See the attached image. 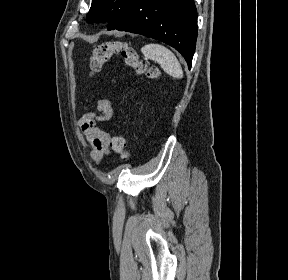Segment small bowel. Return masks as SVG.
<instances>
[{
  "label": "small bowel",
  "instance_id": "1",
  "mask_svg": "<svg viewBox=\"0 0 288 280\" xmlns=\"http://www.w3.org/2000/svg\"><path fill=\"white\" fill-rule=\"evenodd\" d=\"M99 114L87 112L80 119V128L91 147V157L100 162L109 153L110 135L97 125H105L114 117L113 103L108 99H100L97 102Z\"/></svg>",
  "mask_w": 288,
  "mask_h": 280
}]
</instances>
